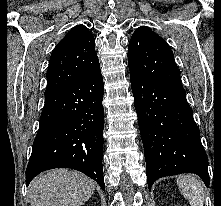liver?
Instances as JSON below:
<instances>
[{"mask_svg":"<svg viewBox=\"0 0 221 206\" xmlns=\"http://www.w3.org/2000/svg\"><path fill=\"white\" fill-rule=\"evenodd\" d=\"M94 190L93 180L67 169L46 172L29 186L31 206H81Z\"/></svg>","mask_w":221,"mask_h":206,"instance_id":"liver-1","label":"liver"}]
</instances>
